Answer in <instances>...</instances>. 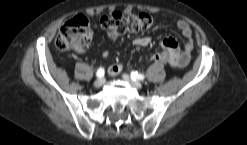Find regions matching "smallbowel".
<instances>
[{"mask_svg":"<svg viewBox=\"0 0 247 145\" xmlns=\"http://www.w3.org/2000/svg\"><path fill=\"white\" fill-rule=\"evenodd\" d=\"M177 28L184 38L183 46L180 47L173 38H165L160 41L159 45L162 52L153 55L152 59L155 62H167L173 68H185L191 61L192 51L194 48L192 30L189 24L185 20H179L177 22ZM108 37L112 41L118 39V34L108 32ZM152 38L150 36H141L133 40V45L138 47H146L150 45ZM78 52H85L86 48L77 49ZM102 58L109 56L108 51H102ZM123 69L122 63H116L108 68V74L112 77L117 76Z\"/></svg>","mask_w":247,"mask_h":145,"instance_id":"small-bowel-1","label":"small bowel"}]
</instances>
